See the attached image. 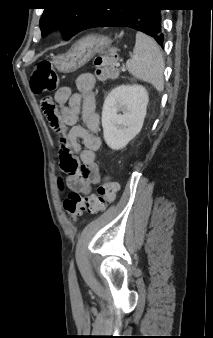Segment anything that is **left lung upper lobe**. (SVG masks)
<instances>
[{
    "mask_svg": "<svg viewBox=\"0 0 213 338\" xmlns=\"http://www.w3.org/2000/svg\"><path fill=\"white\" fill-rule=\"evenodd\" d=\"M104 0H46L40 19L42 36L60 27L65 40L77 34Z\"/></svg>",
    "mask_w": 213,
    "mask_h": 338,
    "instance_id": "obj_1",
    "label": "left lung upper lobe"
}]
</instances>
